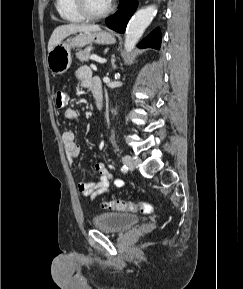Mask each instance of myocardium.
I'll return each mask as SVG.
<instances>
[{
	"mask_svg": "<svg viewBox=\"0 0 243 289\" xmlns=\"http://www.w3.org/2000/svg\"><path fill=\"white\" fill-rule=\"evenodd\" d=\"M75 5L77 10L79 11V13L86 19H90V20H94V19H100L103 17H106L107 15H109L111 13V11L113 10V5L110 2L108 7L98 13L92 12L87 4V0H75Z\"/></svg>",
	"mask_w": 243,
	"mask_h": 289,
	"instance_id": "1",
	"label": "myocardium"
}]
</instances>
